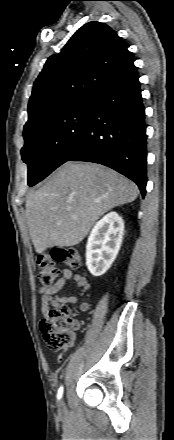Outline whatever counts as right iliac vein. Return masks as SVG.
I'll list each match as a JSON object with an SVG mask.
<instances>
[{
	"label": "right iliac vein",
	"mask_w": 174,
	"mask_h": 440,
	"mask_svg": "<svg viewBox=\"0 0 174 440\" xmlns=\"http://www.w3.org/2000/svg\"><path fill=\"white\" fill-rule=\"evenodd\" d=\"M58 412H59L60 415H63L66 412V407H65V404H64L63 400H61L60 403H59Z\"/></svg>",
	"instance_id": "1"
}]
</instances>
